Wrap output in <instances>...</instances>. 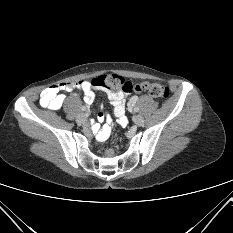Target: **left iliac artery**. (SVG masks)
Wrapping results in <instances>:
<instances>
[{"mask_svg":"<svg viewBox=\"0 0 233 233\" xmlns=\"http://www.w3.org/2000/svg\"><path fill=\"white\" fill-rule=\"evenodd\" d=\"M132 99H133L134 102H136V101L138 100V97H137V96H134ZM134 111H135V112H138L139 109H138L137 107H135V108H134Z\"/></svg>","mask_w":233,"mask_h":233,"instance_id":"1","label":"left iliac artery"}]
</instances>
